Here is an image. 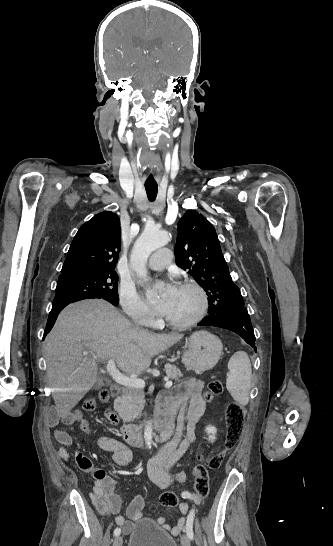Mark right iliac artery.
Returning a JSON list of instances; mask_svg holds the SVG:
<instances>
[{"label": "right iliac artery", "instance_id": "82829eb1", "mask_svg": "<svg viewBox=\"0 0 333 546\" xmlns=\"http://www.w3.org/2000/svg\"><path fill=\"white\" fill-rule=\"evenodd\" d=\"M120 533H121V529H120V528H116V529L114 530V536H118V535H120Z\"/></svg>", "mask_w": 333, "mask_h": 546}]
</instances>
